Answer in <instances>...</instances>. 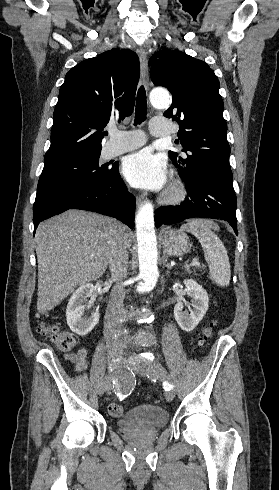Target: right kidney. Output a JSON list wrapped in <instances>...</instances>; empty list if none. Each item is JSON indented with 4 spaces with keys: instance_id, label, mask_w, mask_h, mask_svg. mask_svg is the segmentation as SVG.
I'll list each match as a JSON object with an SVG mask.
<instances>
[{
    "instance_id": "ca27d5eb",
    "label": "right kidney",
    "mask_w": 279,
    "mask_h": 490,
    "mask_svg": "<svg viewBox=\"0 0 279 490\" xmlns=\"http://www.w3.org/2000/svg\"><path fill=\"white\" fill-rule=\"evenodd\" d=\"M95 288L93 284H82L80 288H77L73 292L66 310L67 324L74 334L78 336H86L89 332H92L94 326L98 324L100 314L99 312H92L91 316H85V310H88L89 306L83 304L86 298L93 296Z\"/></svg>"
}]
</instances>
